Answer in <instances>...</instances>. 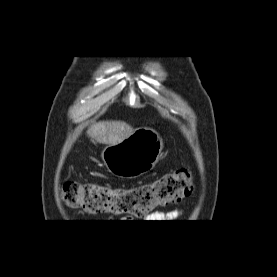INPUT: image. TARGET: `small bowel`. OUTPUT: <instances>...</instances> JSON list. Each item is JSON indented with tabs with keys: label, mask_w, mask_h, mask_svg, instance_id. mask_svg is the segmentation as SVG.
<instances>
[{
	"label": "small bowel",
	"mask_w": 277,
	"mask_h": 277,
	"mask_svg": "<svg viewBox=\"0 0 277 277\" xmlns=\"http://www.w3.org/2000/svg\"><path fill=\"white\" fill-rule=\"evenodd\" d=\"M182 214V211L179 209H173L168 212H154L149 215L151 222H172V220L178 219Z\"/></svg>",
	"instance_id": "obj_1"
}]
</instances>
